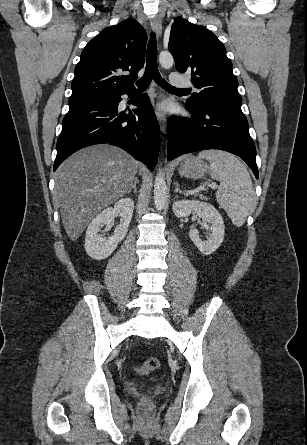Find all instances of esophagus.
Masks as SVG:
<instances>
[{
	"label": "esophagus",
	"mask_w": 307,
	"mask_h": 445,
	"mask_svg": "<svg viewBox=\"0 0 307 445\" xmlns=\"http://www.w3.org/2000/svg\"><path fill=\"white\" fill-rule=\"evenodd\" d=\"M151 25H152V29L155 32L156 36L160 37L161 33H162V22H161L160 18L158 16L155 17L152 20ZM155 113H156L157 120L159 122L160 130L163 134H165L166 124H167L166 116L163 113L159 112V110H157V109H156Z\"/></svg>",
	"instance_id": "obj_1"
}]
</instances>
